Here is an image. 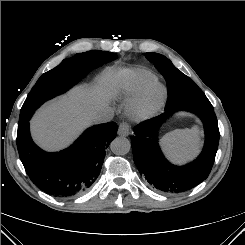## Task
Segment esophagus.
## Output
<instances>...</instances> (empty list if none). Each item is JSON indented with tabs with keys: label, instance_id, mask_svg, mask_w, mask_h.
I'll list each match as a JSON object with an SVG mask.
<instances>
[{
	"label": "esophagus",
	"instance_id": "obj_1",
	"mask_svg": "<svg viewBox=\"0 0 245 245\" xmlns=\"http://www.w3.org/2000/svg\"><path fill=\"white\" fill-rule=\"evenodd\" d=\"M131 133V128L127 122H121L118 128V134L120 136H128Z\"/></svg>",
	"mask_w": 245,
	"mask_h": 245
}]
</instances>
